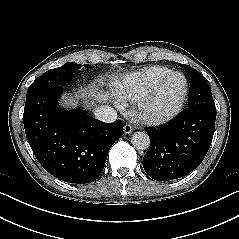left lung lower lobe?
Returning <instances> with one entry per match:
<instances>
[{
    "label": "left lung lower lobe",
    "instance_id": "obj_1",
    "mask_svg": "<svg viewBox=\"0 0 239 239\" xmlns=\"http://www.w3.org/2000/svg\"><path fill=\"white\" fill-rule=\"evenodd\" d=\"M216 119L213 102L190 106L167 126L146 129L150 147L143 158L146 173L157 181L181 178L200 165L211 145Z\"/></svg>",
    "mask_w": 239,
    "mask_h": 239
}]
</instances>
